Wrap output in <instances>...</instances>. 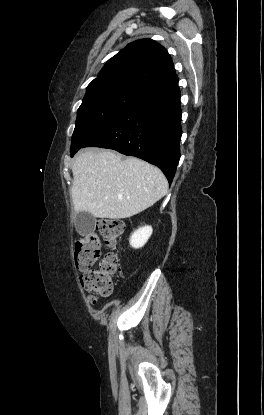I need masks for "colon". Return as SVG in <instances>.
Returning <instances> with one entry per match:
<instances>
[{"label":"colon","instance_id":"obj_1","mask_svg":"<svg viewBox=\"0 0 264 415\" xmlns=\"http://www.w3.org/2000/svg\"><path fill=\"white\" fill-rule=\"evenodd\" d=\"M124 230L122 222L112 219L101 221L96 229L75 244V266L81 272L80 284L88 293V302L96 304L98 297H107L112 292V281L118 270L115 254H107L99 261L101 238L107 247L116 246Z\"/></svg>","mask_w":264,"mask_h":415}]
</instances>
